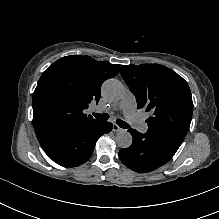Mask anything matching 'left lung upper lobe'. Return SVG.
Wrapping results in <instances>:
<instances>
[{"mask_svg":"<svg viewBox=\"0 0 219 219\" xmlns=\"http://www.w3.org/2000/svg\"><path fill=\"white\" fill-rule=\"evenodd\" d=\"M121 75L135 95L138 109L151 112L146 134L173 152L190 127L193 101L187 82L160 64L126 65Z\"/></svg>","mask_w":219,"mask_h":219,"instance_id":"left-lung-upper-lobe-1","label":"left lung upper lobe"}]
</instances>
